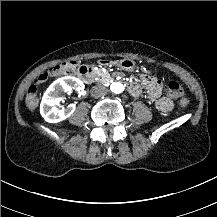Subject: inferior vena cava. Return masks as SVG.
Masks as SVG:
<instances>
[{
    "label": "inferior vena cava",
    "mask_w": 217,
    "mask_h": 217,
    "mask_svg": "<svg viewBox=\"0 0 217 217\" xmlns=\"http://www.w3.org/2000/svg\"><path fill=\"white\" fill-rule=\"evenodd\" d=\"M108 92L107 88L104 86H98L95 88L94 93L97 94L98 97L105 95Z\"/></svg>",
    "instance_id": "obj_1"
}]
</instances>
